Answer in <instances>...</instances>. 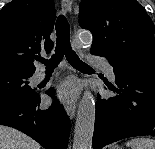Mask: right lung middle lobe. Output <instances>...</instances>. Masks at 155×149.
<instances>
[{"label": "right lung middle lobe", "mask_w": 155, "mask_h": 149, "mask_svg": "<svg viewBox=\"0 0 155 149\" xmlns=\"http://www.w3.org/2000/svg\"><path fill=\"white\" fill-rule=\"evenodd\" d=\"M32 74L0 67V100L29 99L36 93L29 86Z\"/></svg>", "instance_id": "right-lung-middle-lobe-1"}]
</instances>
